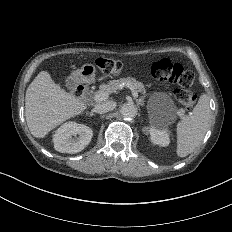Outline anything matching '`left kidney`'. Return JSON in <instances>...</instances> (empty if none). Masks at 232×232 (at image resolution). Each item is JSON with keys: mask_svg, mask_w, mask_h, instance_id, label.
<instances>
[{"mask_svg": "<svg viewBox=\"0 0 232 232\" xmlns=\"http://www.w3.org/2000/svg\"><path fill=\"white\" fill-rule=\"evenodd\" d=\"M147 132L150 134L151 142L161 147H166L170 143L169 131L163 126L162 122L155 119L152 120Z\"/></svg>", "mask_w": 232, "mask_h": 232, "instance_id": "5707ae66", "label": "left kidney"}]
</instances>
